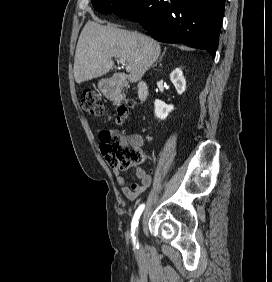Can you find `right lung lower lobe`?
<instances>
[{
  "label": "right lung lower lobe",
  "instance_id": "obj_1",
  "mask_svg": "<svg viewBox=\"0 0 272 282\" xmlns=\"http://www.w3.org/2000/svg\"><path fill=\"white\" fill-rule=\"evenodd\" d=\"M225 0H140L116 15L138 21L156 40L184 43L215 57Z\"/></svg>",
  "mask_w": 272,
  "mask_h": 282
}]
</instances>
